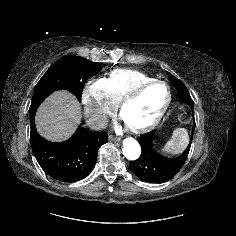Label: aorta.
Returning a JSON list of instances; mask_svg holds the SVG:
<instances>
[{"label":"aorta","mask_w":236,"mask_h":236,"mask_svg":"<svg viewBox=\"0 0 236 236\" xmlns=\"http://www.w3.org/2000/svg\"><path fill=\"white\" fill-rule=\"evenodd\" d=\"M122 152L127 159L136 160L141 154V147L135 139L128 137L123 140Z\"/></svg>","instance_id":"aorta-1"}]
</instances>
